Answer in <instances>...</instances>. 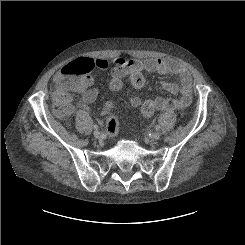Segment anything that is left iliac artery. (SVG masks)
I'll use <instances>...</instances> for the list:
<instances>
[{
	"instance_id": "obj_1",
	"label": "left iliac artery",
	"mask_w": 245,
	"mask_h": 245,
	"mask_svg": "<svg viewBox=\"0 0 245 245\" xmlns=\"http://www.w3.org/2000/svg\"><path fill=\"white\" fill-rule=\"evenodd\" d=\"M160 129V126L159 125H156L155 126V130L158 131Z\"/></svg>"
}]
</instances>
